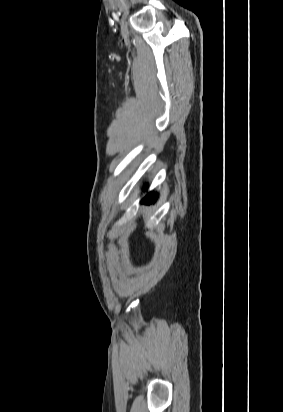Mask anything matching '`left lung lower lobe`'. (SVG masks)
I'll return each instance as SVG.
<instances>
[{
  "label": "left lung lower lobe",
  "mask_w": 283,
  "mask_h": 412,
  "mask_svg": "<svg viewBox=\"0 0 283 412\" xmlns=\"http://www.w3.org/2000/svg\"><path fill=\"white\" fill-rule=\"evenodd\" d=\"M155 198H156V195H155ZM155 198H154V195H153V194L149 193V194L143 199V202L149 204V203H151L153 200H155Z\"/></svg>",
  "instance_id": "0a47b994"
}]
</instances>
